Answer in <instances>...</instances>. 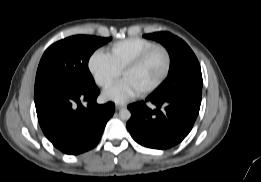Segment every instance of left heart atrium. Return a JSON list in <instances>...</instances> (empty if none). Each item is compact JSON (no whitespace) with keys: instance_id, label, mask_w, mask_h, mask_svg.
Here are the masks:
<instances>
[{"instance_id":"1","label":"left heart atrium","mask_w":261,"mask_h":182,"mask_svg":"<svg viewBox=\"0 0 261 182\" xmlns=\"http://www.w3.org/2000/svg\"><path fill=\"white\" fill-rule=\"evenodd\" d=\"M141 91L136 88L131 82L122 80L112 88L106 90L102 97L104 100L113 101L116 103H125L128 100L138 96Z\"/></svg>"}]
</instances>
